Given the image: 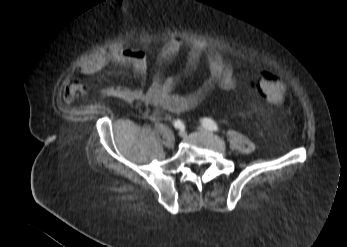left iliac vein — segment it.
<instances>
[{"instance_id":"obj_1","label":"left iliac vein","mask_w":347,"mask_h":247,"mask_svg":"<svg viewBox=\"0 0 347 247\" xmlns=\"http://www.w3.org/2000/svg\"><path fill=\"white\" fill-rule=\"evenodd\" d=\"M198 129L201 132H209V130L207 128H204V127H199Z\"/></svg>"}]
</instances>
